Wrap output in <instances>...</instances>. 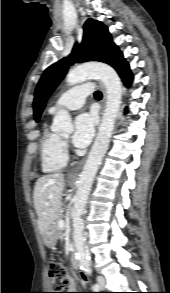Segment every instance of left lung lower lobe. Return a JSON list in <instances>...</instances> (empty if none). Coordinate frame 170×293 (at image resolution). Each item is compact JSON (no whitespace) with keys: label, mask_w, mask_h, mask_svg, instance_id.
Here are the masks:
<instances>
[{"label":"left lung lower lobe","mask_w":170,"mask_h":293,"mask_svg":"<svg viewBox=\"0 0 170 293\" xmlns=\"http://www.w3.org/2000/svg\"><path fill=\"white\" fill-rule=\"evenodd\" d=\"M111 66L116 69L123 82L129 86L132 81V73L128 63L123 58L122 53L114 60Z\"/></svg>","instance_id":"0a47b994"}]
</instances>
